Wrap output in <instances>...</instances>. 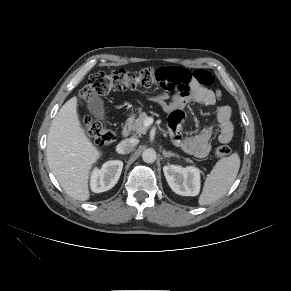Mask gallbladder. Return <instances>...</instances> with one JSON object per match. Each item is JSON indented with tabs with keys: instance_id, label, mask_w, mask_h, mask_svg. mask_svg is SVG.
<instances>
[{
	"instance_id": "1",
	"label": "gallbladder",
	"mask_w": 291,
	"mask_h": 291,
	"mask_svg": "<svg viewBox=\"0 0 291 291\" xmlns=\"http://www.w3.org/2000/svg\"><path fill=\"white\" fill-rule=\"evenodd\" d=\"M87 110L98 120L104 121L106 114L103 100L95 94H91L87 99Z\"/></svg>"
}]
</instances>
